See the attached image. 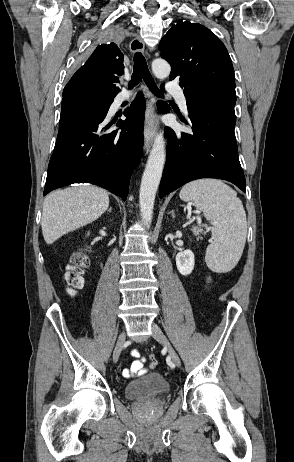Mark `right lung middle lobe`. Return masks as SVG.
<instances>
[{"instance_id": "right-lung-middle-lobe-1", "label": "right lung middle lobe", "mask_w": 294, "mask_h": 462, "mask_svg": "<svg viewBox=\"0 0 294 462\" xmlns=\"http://www.w3.org/2000/svg\"><path fill=\"white\" fill-rule=\"evenodd\" d=\"M120 36L115 29L109 30L102 40H112ZM115 96H100L91 93H76L62 100L61 116L63 118L70 114L91 113L99 109L108 108Z\"/></svg>"}]
</instances>
